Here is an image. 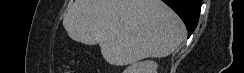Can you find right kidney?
I'll list each match as a JSON object with an SVG mask.
<instances>
[{
    "instance_id": "ca27d5eb",
    "label": "right kidney",
    "mask_w": 244,
    "mask_h": 73,
    "mask_svg": "<svg viewBox=\"0 0 244 73\" xmlns=\"http://www.w3.org/2000/svg\"><path fill=\"white\" fill-rule=\"evenodd\" d=\"M157 63L152 60L136 62L125 69L123 73H157Z\"/></svg>"
}]
</instances>
